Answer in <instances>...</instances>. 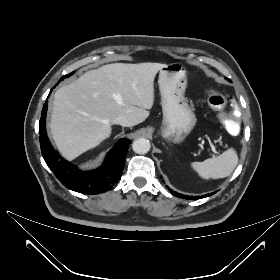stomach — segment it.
<instances>
[{
  "instance_id": "obj_1",
  "label": "stomach",
  "mask_w": 280,
  "mask_h": 280,
  "mask_svg": "<svg viewBox=\"0 0 280 280\" xmlns=\"http://www.w3.org/2000/svg\"><path fill=\"white\" fill-rule=\"evenodd\" d=\"M159 90L163 111L161 135L181 143L196 125V116L185 97L186 67L176 62L166 65L159 73Z\"/></svg>"
}]
</instances>
